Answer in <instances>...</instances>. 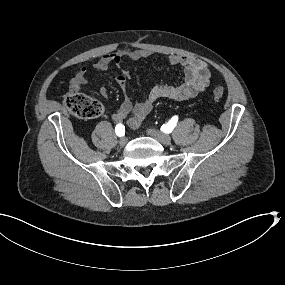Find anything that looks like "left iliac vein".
Instances as JSON below:
<instances>
[{
  "label": "left iliac vein",
  "mask_w": 285,
  "mask_h": 285,
  "mask_svg": "<svg viewBox=\"0 0 285 285\" xmlns=\"http://www.w3.org/2000/svg\"><path fill=\"white\" fill-rule=\"evenodd\" d=\"M152 136L155 137L159 142H161L164 145H169L172 141L169 135L160 132H153Z\"/></svg>",
  "instance_id": "left-iliac-vein-1"
}]
</instances>
